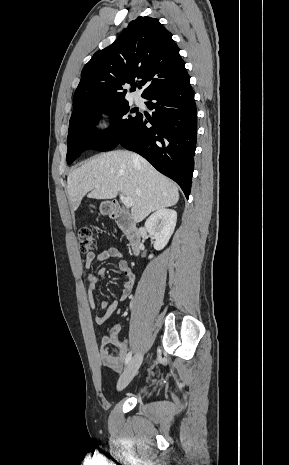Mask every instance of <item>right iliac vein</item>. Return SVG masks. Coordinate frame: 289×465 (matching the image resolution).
<instances>
[{
  "instance_id": "right-iliac-vein-1",
  "label": "right iliac vein",
  "mask_w": 289,
  "mask_h": 465,
  "mask_svg": "<svg viewBox=\"0 0 289 465\" xmlns=\"http://www.w3.org/2000/svg\"><path fill=\"white\" fill-rule=\"evenodd\" d=\"M143 360V354L142 352H138L129 362L128 366L120 376L118 383H117V389L120 391L124 389L134 378L136 375L141 363Z\"/></svg>"
}]
</instances>
